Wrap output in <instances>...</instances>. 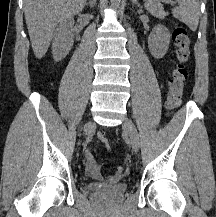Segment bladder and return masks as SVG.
<instances>
[{"mask_svg": "<svg viewBox=\"0 0 216 217\" xmlns=\"http://www.w3.org/2000/svg\"><path fill=\"white\" fill-rule=\"evenodd\" d=\"M86 188L94 195L107 200H115L123 196L128 190V186L125 183H119L106 187H99L96 184H88Z\"/></svg>", "mask_w": 216, "mask_h": 217, "instance_id": "obj_1", "label": "bladder"}]
</instances>
